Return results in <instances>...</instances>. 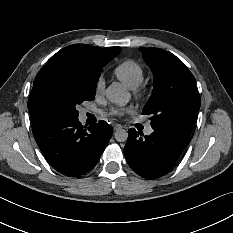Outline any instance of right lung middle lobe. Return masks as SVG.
Returning a JSON list of instances; mask_svg holds the SVG:
<instances>
[{
  "label": "right lung middle lobe",
  "instance_id": "obj_1",
  "mask_svg": "<svg viewBox=\"0 0 233 233\" xmlns=\"http://www.w3.org/2000/svg\"><path fill=\"white\" fill-rule=\"evenodd\" d=\"M100 74L87 78L60 70L49 72L38 87L33 115L38 123L77 119V105L95 98Z\"/></svg>",
  "mask_w": 233,
  "mask_h": 233
}]
</instances>
